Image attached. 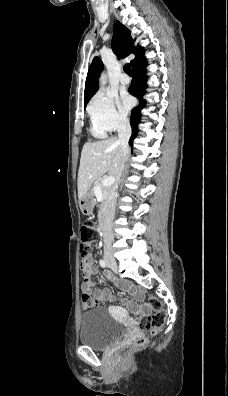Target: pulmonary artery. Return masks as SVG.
Returning <instances> with one entry per match:
<instances>
[{
    "instance_id": "obj_1",
    "label": "pulmonary artery",
    "mask_w": 228,
    "mask_h": 396,
    "mask_svg": "<svg viewBox=\"0 0 228 396\" xmlns=\"http://www.w3.org/2000/svg\"><path fill=\"white\" fill-rule=\"evenodd\" d=\"M119 81H120L121 84H128L130 79H129V77L126 74H121L119 76Z\"/></svg>"
}]
</instances>
